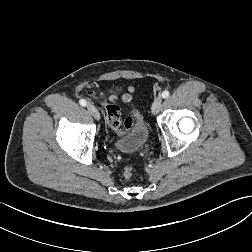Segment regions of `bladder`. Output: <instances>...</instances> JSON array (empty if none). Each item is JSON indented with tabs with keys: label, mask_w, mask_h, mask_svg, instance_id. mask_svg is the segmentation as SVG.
Here are the masks:
<instances>
[{
	"label": "bladder",
	"mask_w": 252,
	"mask_h": 252,
	"mask_svg": "<svg viewBox=\"0 0 252 252\" xmlns=\"http://www.w3.org/2000/svg\"><path fill=\"white\" fill-rule=\"evenodd\" d=\"M130 119L131 123L127 133L114 144V147L122 153L139 151L149 139V126L142 113L134 111Z\"/></svg>",
	"instance_id": "1"
}]
</instances>
